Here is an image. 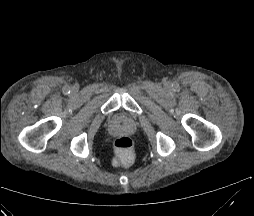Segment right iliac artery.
<instances>
[{"instance_id": "1", "label": "right iliac artery", "mask_w": 254, "mask_h": 216, "mask_svg": "<svg viewBox=\"0 0 254 216\" xmlns=\"http://www.w3.org/2000/svg\"><path fill=\"white\" fill-rule=\"evenodd\" d=\"M63 92H64L65 94H69V93H70L69 87H65V88L63 89Z\"/></svg>"}]
</instances>
